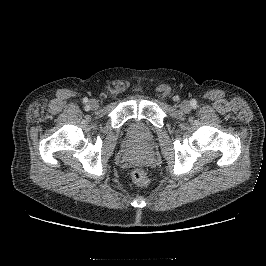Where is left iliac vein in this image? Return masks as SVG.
<instances>
[{
  "label": "left iliac vein",
  "mask_w": 266,
  "mask_h": 266,
  "mask_svg": "<svg viewBox=\"0 0 266 266\" xmlns=\"http://www.w3.org/2000/svg\"><path fill=\"white\" fill-rule=\"evenodd\" d=\"M180 109H181V111L187 113V112H189L191 110V105L189 104V102L183 101L180 104Z\"/></svg>",
  "instance_id": "4c4485c4"
}]
</instances>
